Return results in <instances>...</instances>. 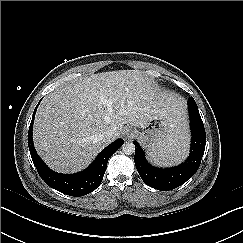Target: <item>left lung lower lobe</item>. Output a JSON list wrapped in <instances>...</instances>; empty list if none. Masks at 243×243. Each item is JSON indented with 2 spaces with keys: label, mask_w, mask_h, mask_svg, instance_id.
<instances>
[{
  "label": "left lung lower lobe",
  "mask_w": 243,
  "mask_h": 243,
  "mask_svg": "<svg viewBox=\"0 0 243 243\" xmlns=\"http://www.w3.org/2000/svg\"><path fill=\"white\" fill-rule=\"evenodd\" d=\"M188 110L192 132L191 150L188 159L181 165L160 169L151 166L145 159L144 151L136 141L134 162L142 180L148 186L161 191L175 189L188 181L198 170L205 150L206 133L195 100L188 99Z\"/></svg>",
  "instance_id": "1"
}]
</instances>
